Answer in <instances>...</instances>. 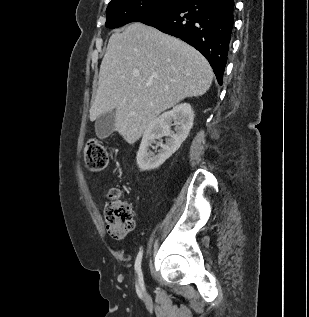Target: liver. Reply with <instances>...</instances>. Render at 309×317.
Listing matches in <instances>:
<instances>
[{"instance_id": "6515ba94", "label": "liver", "mask_w": 309, "mask_h": 317, "mask_svg": "<svg viewBox=\"0 0 309 317\" xmlns=\"http://www.w3.org/2000/svg\"><path fill=\"white\" fill-rule=\"evenodd\" d=\"M212 80L211 66L196 49L154 27L131 23L109 39L89 118L115 110V131L133 144L161 112L204 95Z\"/></svg>"}]
</instances>
